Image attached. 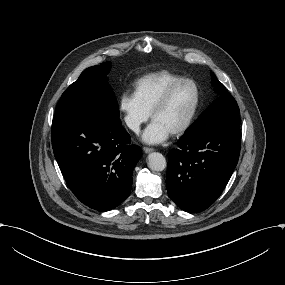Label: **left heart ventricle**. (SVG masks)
<instances>
[{
	"label": "left heart ventricle",
	"instance_id": "b2bd125f",
	"mask_svg": "<svg viewBox=\"0 0 285 285\" xmlns=\"http://www.w3.org/2000/svg\"><path fill=\"white\" fill-rule=\"evenodd\" d=\"M196 100L194 86L185 82L172 93L168 103L154 115L171 131L182 125L190 115Z\"/></svg>",
	"mask_w": 285,
	"mask_h": 285
}]
</instances>
